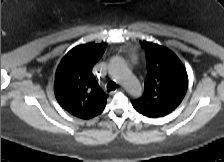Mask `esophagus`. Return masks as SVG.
I'll return each instance as SVG.
<instances>
[{"mask_svg": "<svg viewBox=\"0 0 224 162\" xmlns=\"http://www.w3.org/2000/svg\"><path fill=\"white\" fill-rule=\"evenodd\" d=\"M124 90L122 89V88H120V89H117V90H115V91H112V92H110V94L111 95H114V94H116V93H118V92H123Z\"/></svg>", "mask_w": 224, "mask_h": 162, "instance_id": "obj_1", "label": "esophagus"}]
</instances>
